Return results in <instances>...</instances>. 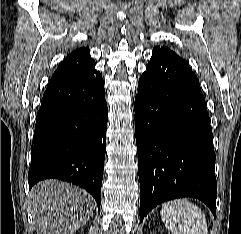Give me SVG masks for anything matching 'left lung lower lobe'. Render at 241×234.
Listing matches in <instances>:
<instances>
[{"label":"left lung lower lobe","mask_w":241,"mask_h":234,"mask_svg":"<svg viewBox=\"0 0 241 234\" xmlns=\"http://www.w3.org/2000/svg\"><path fill=\"white\" fill-rule=\"evenodd\" d=\"M134 110L140 222L158 204L180 197L202 200L216 216L210 119L188 63L166 47H155L139 79Z\"/></svg>","instance_id":"obj_1"}]
</instances>
